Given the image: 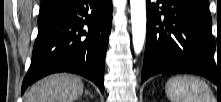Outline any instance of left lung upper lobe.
<instances>
[{
  "instance_id": "1",
  "label": "left lung upper lobe",
  "mask_w": 221,
  "mask_h": 102,
  "mask_svg": "<svg viewBox=\"0 0 221 102\" xmlns=\"http://www.w3.org/2000/svg\"><path fill=\"white\" fill-rule=\"evenodd\" d=\"M203 2L207 3V0H202Z\"/></svg>"
}]
</instances>
